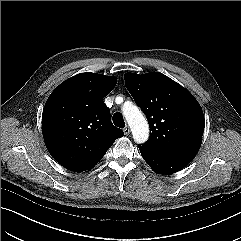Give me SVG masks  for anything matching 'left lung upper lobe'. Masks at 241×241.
<instances>
[{
    "label": "left lung upper lobe",
    "instance_id": "1",
    "mask_svg": "<svg viewBox=\"0 0 241 241\" xmlns=\"http://www.w3.org/2000/svg\"><path fill=\"white\" fill-rule=\"evenodd\" d=\"M124 78L149 123L150 138L142 146L172 160L192 161L205 125L203 111L192 94L158 72L127 73Z\"/></svg>",
    "mask_w": 241,
    "mask_h": 241
}]
</instances>
